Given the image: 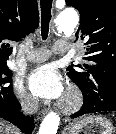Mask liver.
Here are the masks:
<instances>
[{"instance_id":"liver-1","label":"liver","mask_w":116,"mask_h":134,"mask_svg":"<svg viewBox=\"0 0 116 134\" xmlns=\"http://www.w3.org/2000/svg\"><path fill=\"white\" fill-rule=\"evenodd\" d=\"M0 134H19V131L10 124L0 120Z\"/></svg>"}]
</instances>
